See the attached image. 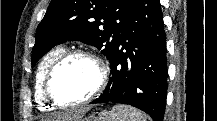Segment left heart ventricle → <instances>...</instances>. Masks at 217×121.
Wrapping results in <instances>:
<instances>
[{"label": "left heart ventricle", "mask_w": 217, "mask_h": 121, "mask_svg": "<svg viewBox=\"0 0 217 121\" xmlns=\"http://www.w3.org/2000/svg\"><path fill=\"white\" fill-rule=\"evenodd\" d=\"M98 74L97 66L90 59L73 58L57 71L52 81V92L64 103L78 102L93 91Z\"/></svg>", "instance_id": "left-heart-ventricle-1"}]
</instances>
